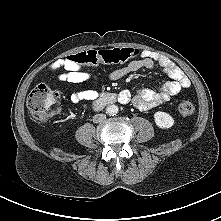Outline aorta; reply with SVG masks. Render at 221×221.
<instances>
[{
	"mask_svg": "<svg viewBox=\"0 0 221 221\" xmlns=\"http://www.w3.org/2000/svg\"><path fill=\"white\" fill-rule=\"evenodd\" d=\"M106 111L109 115H116L119 111V108L117 105H110L107 107Z\"/></svg>",
	"mask_w": 221,
	"mask_h": 221,
	"instance_id": "1",
	"label": "aorta"
}]
</instances>
